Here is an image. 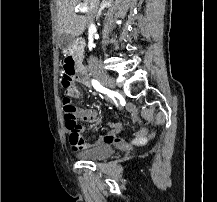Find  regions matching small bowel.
<instances>
[{
  "label": "small bowel",
  "instance_id": "1",
  "mask_svg": "<svg viewBox=\"0 0 217 202\" xmlns=\"http://www.w3.org/2000/svg\"><path fill=\"white\" fill-rule=\"evenodd\" d=\"M59 90H74L72 98L79 99L82 96L81 91L76 87V85H59ZM128 112L131 114L133 119L137 118V110L134 105H128ZM98 109L95 107H75V116L78 120L88 123H94L98 120ZM121 131V125L119 123H114L111 125V130L109 133L99 137L94 140L93 143L86 142H70V147H85L92 148L100 146L102 144L115 143L120 148L128 149L132 145L142 146L147 144L153 137L154 131L148 125L145 124L139 131L133 134L130 139H123L119 137ZM70 141H84L83 131H71Z\"/></svg>",
  "mask_w": 217,
  "mask_h": 202
}]
</instances>
